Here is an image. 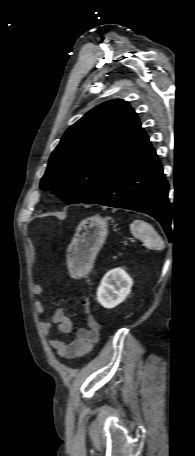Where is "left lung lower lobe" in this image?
<instances>
[{
    "mask_svg": "<svg viewBox=\"0 0 195 456\" xmlns=\"http://www.w3.org/2000/svg\"><path fill=\"white\" fill-rule=\"evenodd\" d=\"M168 187L156 151L141 128L103 185L84 203L146 213L169 235Z\"/></svg>",
    "mask_w": 195,
    "mask_h": 456,
    "instance_id": "left-lung-lower-lobe-1",
    "label": "left lung lower lobe"
}]
</instances>
